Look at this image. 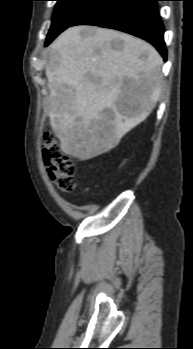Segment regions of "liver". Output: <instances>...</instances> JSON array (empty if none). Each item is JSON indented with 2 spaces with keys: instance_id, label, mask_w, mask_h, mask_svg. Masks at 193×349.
Masks as SVG:
<instances>
[{
  "instance_id": "liver-1",
  "label": "liver",
  "mask_w": 193,
  "mask_h": 349,
  "mask_svg": "<svg viewBox=\"0 0 193 349\" xmlns=\"http://www.w3.org/2000/svg\"><path fill=\"white\" fill-rule=\"evenodd\" d=\"M115 39L121 49L112 47ZM162 64L152 45L132 35L86 26L65 30L49 47L46 65L50 124L61 149L84 161L116 147L155 108ZM120 100L131 110L121 111Z\"/></svg>"
}]
</instances>
